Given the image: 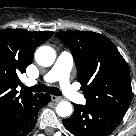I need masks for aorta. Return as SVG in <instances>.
I'll return each mask as SVG.
<instances>
[{
  "instance_id": "obj_1",
  "label": "aorta",
  "mask_w": 136,
  "mask_h": 136,
  "mask_svg": "<svg viewBox=\"0 0 136 136\" xmlns=\"http://www.w3.org/2000/svg\"><path fill=\"white\" fill-rule=\"evenodd\" d=\"M56 58L55 50L49 46H41L35 52L36 62L44 67L51 66ZM56 113L60 117H67L72 114V105L70 102L61 101L56 106Z\"/></svg>"
}]
</instances>
